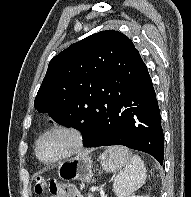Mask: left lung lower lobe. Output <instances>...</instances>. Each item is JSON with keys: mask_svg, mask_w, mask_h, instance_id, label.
I'll return each mask as SVG.
<instances>
[{"mask_svg": "<svg viewBox=\"0 0 191 197\" xmlns=\"http://www.w3.org/2000/svg\"><path fill=\"white\" fill-rule=\"evenodd\" d=\"M87 147L124 145L152 155L163 165L160 109L146 69L124 76L119 87L83 122Z\"/></svg>", "mask_w": 191, "mask_h": 197, "instance_id": "1", "label": "left lung lower lobe"}]
</instances>
